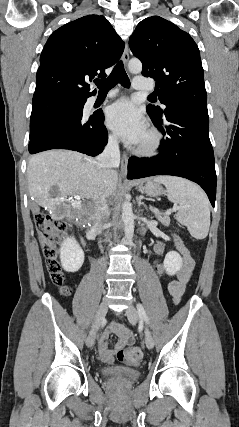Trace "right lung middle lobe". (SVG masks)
I'll return each instance as SVG.
<instances>
[{
  "label": "right lung middle lobe",
  "mask_w": 239,
  "mask_h": 427,
  "mask_svg": "<svg viewBox=\"0 0 239 427\" xmlns=\"http://www.w3.org/2000/svg\"><path fill=\"white\" fill-rule=\"evenodd\" d=\"M83 100L61 95L33 99L30 118V137L47 117L65 108L70 103H82Z\"/></svg>",
  "instance_id": "obj_1"
}]
</instances>
